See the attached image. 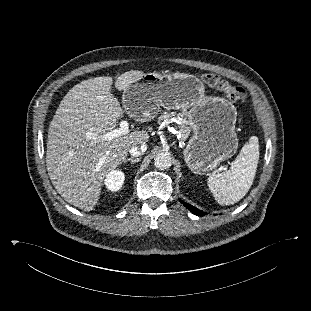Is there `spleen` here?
<instances>
[{
  "mask_svg": "<svg viewBox=\"0 0 311 311\" xmlns=\"http://www.w3.org/2000/svg\"><path fill=\"white\" fill-rule=\"evenodd\" d=\"M258 161V138L252 136L229 170L208 177V187L219 204L232 205L248 193L255 178Z\"/></svg>",
  "mask_w": 311,
  "mask_h": 311,
  "instance_id": "spleen-1",
  "label": "spleen"
}]
</instances>
